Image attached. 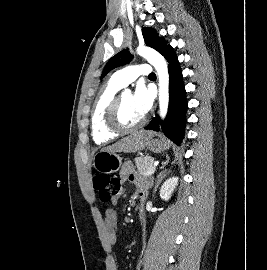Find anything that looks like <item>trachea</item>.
<instances>
[{
    "mask_svg": "<svg viewBox=\"0 0 267 270\" xmlns=\"http://www.w3.org/2000/svg\"><path fill=\"white\" fill-rule=\"evenodd\" d=\"M150 76H155V74L154 73H151Z\"/></svg>",
    "mask_w": 267,
    "mask_h": 270,
    "instance_id": "3493384b",
    "label": "trachea"
}]
</instances>
